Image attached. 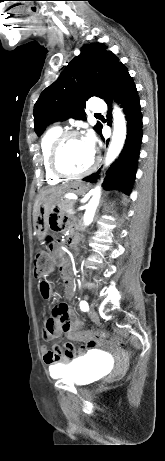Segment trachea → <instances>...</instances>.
<instances>
[{"label": "trachea", "instance_id": "obj_1", "mask_svg": "<svg viewBox=\"0 0 165 461\" xmlns=\"http://www.w3.org/2000/svg\"><path fill=\"white\" fill-rule=\"evenodd\" d=\"M95 116H101V114H99V113H96V114H95Z\"/></svg>", "mask_w": 165, "mask_h": 461}]
</instances>
